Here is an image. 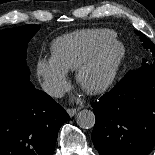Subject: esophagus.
<instances>
[{
  "label": "esophagus",
  "instance_id": "obj_1",
  "mask_svg": "<svg viewBox=\"0 0 155 155\" xmlns=\"http://www.w3.org/2000/svg\"><path fill=\"white\" fill-rule=\"evenodd\" d=\"M67 113L70 117H73L77 113V109L76 108H69V109H67Z\"/></svg>",
  "mask_w": 155,
  "mask_h": 155
}]
</instances>
